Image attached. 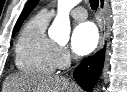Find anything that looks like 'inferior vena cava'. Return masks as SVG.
<instances>
[{
    "label": "inferior vena cava",
    "instance_id": "602c4592",
    "mask_svg": "<svg viewBox=\"0 0 127 92\" xmlns=\"http://www.w3.org/2000/svg\"><path fill=\"white\" fill-rule=\"evenodd\" d=\"M74 59H75V60H77V57H76V56H74Z\"/></svg>",
    "mask_w": 127,
    "mask_h": 92
}]
</instances>
